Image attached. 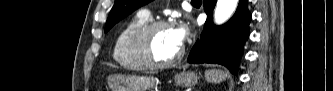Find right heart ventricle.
<instances>
[{"mask_svg":"<svg viewBox=\"0 0 333 91\" xmlns=\"http://www.w3.org/2000/svg\"><path fill=\"white\" fill-rule=\"evenodd\" d=\"M148 22V17L138 13L117 33L113 44L112 57L122 68L135 71L146 69L133 52L132 36L140 27Z\"/></svg>","mask_w":333,"mask_h":91,"instance_id":"obj_1","label":"right heart ventricle"}]
</instances>
